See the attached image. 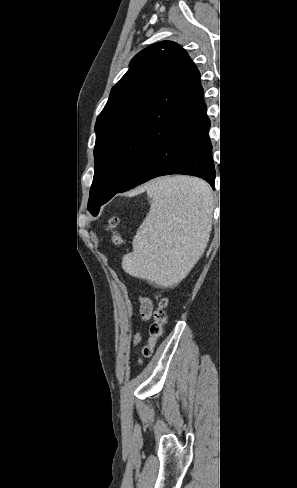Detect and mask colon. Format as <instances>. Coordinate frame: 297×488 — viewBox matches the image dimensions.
Instances as JSON below:
<instances>
[{
	"instance_id": "obj_1",
	"label": "colon",
	"mask_w": 297,
	"mask_h": 488,
	"mask_svg": "<svg viewBox=\"0 0 297 488\" xmlns=\"http://www.w3.org/2000/svg\"><path fill=\"white\" fill-rule=\"evenodd\" d=\"M118 224H119V219L117 217H111L108 220L106 225V229L110 233V241L115 246L121 243V238L116 232ZM167 306H168V300L163 299L160 303L159 308L156 310L154 314L155 321L150 327L149 343L143 348L144 357H149L152 354L156 341L163 335L164 326L168 321V316L165 310Z\"/></svg>"
}]
</instances>
